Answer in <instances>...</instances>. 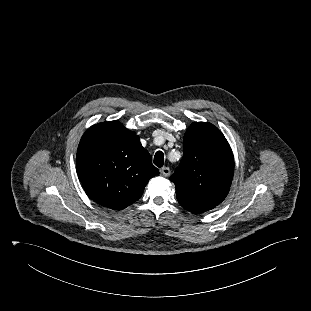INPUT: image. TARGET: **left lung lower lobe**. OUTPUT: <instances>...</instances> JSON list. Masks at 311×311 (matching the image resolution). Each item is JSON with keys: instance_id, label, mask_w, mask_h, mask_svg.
<instances>
[{"instance_id": "obj_1", "label": "left lung lower lobe", "mask_w": 311, "mask_h": 311, "mask_svg": "<svg viewBox=\"0 0 311 311\" xmlns=\"http://www.w3.org/2000/svg\"><path fill=\"white\" fill-rule=\"evenodd\" d=\"M177 200L179 204L186 210L194 213V214H200L203 212H206L208 210H211L215 208L217 205L207 203V202H202V201H197L190 199L178 192H176Z\"/></svg>"}]
</instances>
